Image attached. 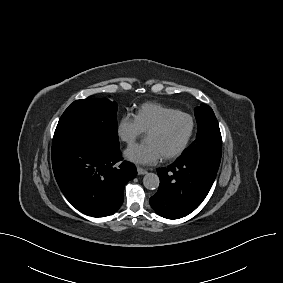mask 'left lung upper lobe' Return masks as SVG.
Instances as JSON below:
<instances>
[{
    "label": "left lung upper lobe",
    "mask_w": 283,
    "mask_h": 283,
    "mask_svg": "<svg viewBox=\"0 0 283 283\" xmlns=\"http://www.w3.org/2000/svg\"><path fill=\"white\" fill-rule=\"evenodd\" d=\"M195 117L198 124L197 137L180 158L193 154H204L220 161L222 138L218 121L212 108L206 104H201V106L195 108Z\"/></svg>",
    "instance_id": "1"
}]
</instances>
